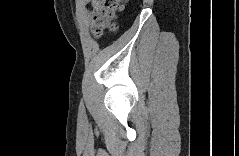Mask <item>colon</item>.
<instances>
[{
	"instance_id": "5ec220e1",
	"label": "colon",
	"mask_w": 239,
	"mask_h": 156,
	"mask_svg": "<svg viewBox=\"0 0 239 156\" xmlns=\"http://www.w3.org/2000/svg\"><path fill=\"white\" fill-rule=\"evenodd\" d=\"M122 8L118 0H95L91 11L93 32L100 35L105 30H115L114 20Z\"/></svg>"
}]
</instances>
